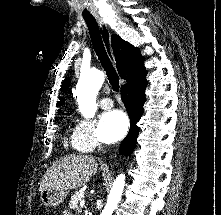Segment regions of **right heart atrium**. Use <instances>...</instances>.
Listing matches in <instances>:
<instances>
[{
    "mask_svg": "<svg viewBox=\"0 0 221 215\" xmlns=\"http://www.w3.org/2000/svg\"><path fill=\"white\" fill-rule=\"evenodd\" d=\"M101 141L93 120L80 118L76 121L72 142L77 150L81 152L92 151L100 145Z\"/></svg>",
    "mask_w": 221,
    "mask_h": 215,
    "instance_id": "obj_1",
    "label": "right heart atrium"
}]
</instances>
